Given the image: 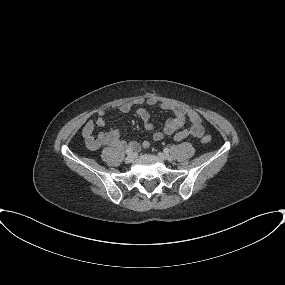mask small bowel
<instances>
[{
    "label": "small bowel",
    "instance_id": "1",
    "mask_svg": "<svg viewBox=\"0 0 285 285\" xmlns=\"http://www.w3.org/2000/svg\"><path fill=\"white\" fill-rule=\"evenodd\" d=\"M145 105H158L162 110L171 111L174 116L166 120L163 130L154 131V124L151 121L150 113L144 107ZM134 106H137L136 113L142 120L145 129L154 131L153 139L155 141H161L166 135L172 134H174V139L176 141H183L189 137L201 138L204 135L202 119L194 110L168 102H161L154 97H139L118 105L117 109L119 112L126 114L129 113ZM186 120L190 122V127L180 130ZM107 125L106 114L103 110L98 112L95 120H90L85 124L82 134L86 146L90 150H96L102 145H111L118 148H131L135 151L140 150L141 147L148 148L150 146V142L147 140L143 141L141 144L136 141L124 140L122 138V131L119 129L110 132H101L98 136L94 135L97 127H105Z\"/></svg>",
    "mask_w": 285,
    "mask_h": 285
}]
</instances>
